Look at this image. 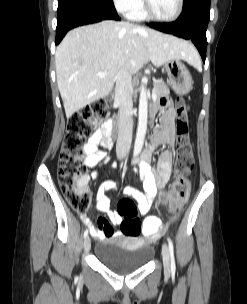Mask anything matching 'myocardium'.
<instances>
[{"label": "myocardium", "mask_w": 247, "mask_h": 304, "mask_svg": "<svg viewBox=\"0 0 247 304\" xmlns=\"http://www.w3.org/2000/svg\"><path fill=\"white\" fill-rule=\"evenodd\" d=\"M183 6H184V0H178V6H177L175 13L171 17L160 18L152 12L150 5H149V1L143 0V10H144L145 16L153 21L162 22V23H171V22L176 21L182 13Z\"/></svg>", "instance_id": "f54148a6"}]
</instances>
